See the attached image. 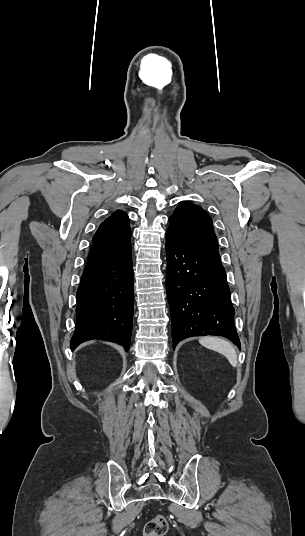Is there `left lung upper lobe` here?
Listing matches in <instances>:
<instances>
[{
    "instance_id": "obj_1",
    "label": "left lung upper lobe",
    "mask_w": 305,
    "mask_h": 536,
    "mask_svg": "<svg viewBox=\"0 0 305 536\" xmlns=\"http://www.w3.org/2000/svg\"><path fill=\"white\" fill-rule=\"evenodd\" d=\"M169 222L167 233L184 243L198 248L218 249L212 219L199 205L181 202Z\"/></svg>"
}]
</instances>
